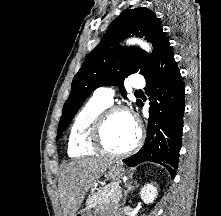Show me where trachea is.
Returning <instances> with one entry per match:
<instances>
[{
    "label": "trachea",
    "instance_id": "obj_1",
    "mask_svg": "<svg viewBox=\"0 0 221 216\" xmlns=\"http://www.w3.org/2000/svg\"><path fill=\"white\" fill-rule=\"evenodd\" d=\"M140 93H143L141 90H137L136 92H135V94H140Z\"/></svg>",
    "mask_w": 221,
    "mask_h": 216
}]
</instances>
